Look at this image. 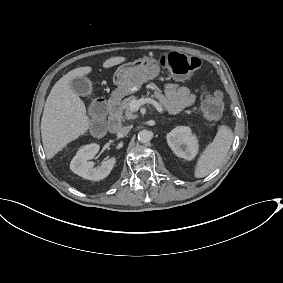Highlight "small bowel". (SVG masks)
Masks as SVG:
<instances>
[{
    "instance_id": "small-bowel-1",
    "label": "small bowel",
    "mask_w": 283,
    "mask_h": 283,
    "mask_svg": "<svg viewBox=\"0 0 283 283\" xmlns=\"http://www.w3.org/2000/svg\"><path fill=\"white\" fill-rule=\"evenodd\" d=\"M156 98L171 113H177L195 101L194 94L187 86L174 83L166 84L163 92L156 94Z\"/></svg>"
}]
</instances>
